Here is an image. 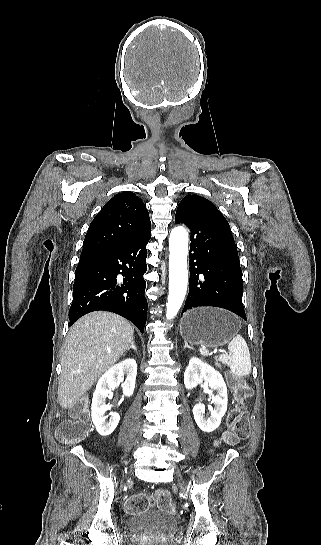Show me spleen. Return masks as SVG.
Instances as JSON below:
<instances>
[{
    "label": "spleen",
    "instance_id": "3e777b00",
    "mask_svg": "<svg viewBox=\"0 0 321 545\" xmlns=\"http://www.w3.org/2000/svg\"><path fill=\"white\" fill-rule=\"evenodd\" d=\"M228 349L232 355H219V361L223 365L229 367L234 377H247L251 373L250 351L241 335H236L228 345ZM201 355H209V351L202 347L199 349Z\"/></svg>",
    "mask_w": 321,
    "mask_h": 545
}]
</instances>
